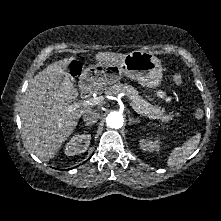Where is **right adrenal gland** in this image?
<instances>
[{
	"label": "right adrenal gland",
	"mask_w": 221,
	"mask_h": 221,
	"mask_svg": "<svg viewBox=\"0 0 221 221\" xmlns=\"http://www.w3.org/2000/svg\"><path fill=\"white\" fill-rule=\"evenodd\" d=\"M85 127H89V125L85 124Z\"/></svg>",
	"instance_id": "right-adrenal-gland-1"
}]
</instances>
